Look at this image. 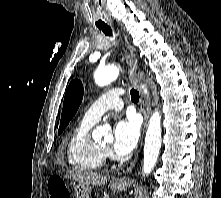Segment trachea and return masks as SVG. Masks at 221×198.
Instances as JSON below:
<instances>
[{
	"instance_id": "obj_1",
	"label": "trachea",
	"mask_w": 221,
	"mask_h": 198,
	"mask_svg": "<svg viewBox=\"0 0 221 198\" xmlns=\"http://www.w3.org/2000/svg\"><path fill=\"white\" fill-rule=\"evenodd\" d=\"M99 29L102 30L105 35L112 36V29L110 27H108V26L107 27H100ZM130 95H131V100L134 103H137L139 101V93L135 89H132L130 91Z\"/></svg>"
}]
</instances>
